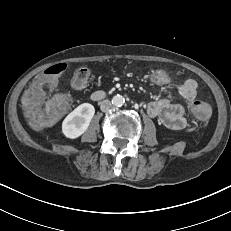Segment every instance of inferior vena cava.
<instances>
[{"mask_svg":"<svg viewBox=\"0 0 231 231\" xmlns=\"http://www.w3.org/2000/svg\"><path fill=\"white\" fill-rule=\"evenodd\" d=\"M112 103L109 100H103L100 103V109L102 112H107L112 108Z\"/></svg>","mask_w":231,"mask_h":231,"instance_id":"inferior-vena-cava-1","label":"inferior vena cava"}]
</instances>
